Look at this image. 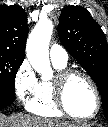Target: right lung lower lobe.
<instances>
[{"mask_svg":"<svg viewBox=\"0 0 108 127\" xmlns=\"http://www.w3.org/2000/svg\"><path fill=\"white\" fill-rule=\"evenodd\" d=\"M15 100V94H8L0 91V109L10 105Z\"/></svg>","mask_w":108,"mask_h":127,"instance_id":"obj_1","label":"right lung lower lobe"}]
</instances>
